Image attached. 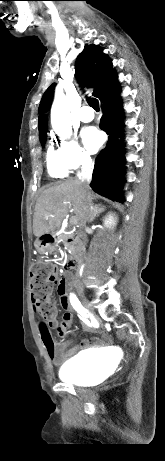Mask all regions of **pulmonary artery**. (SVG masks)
<instances>
[{
  "mask_svg": "<svg viewBox=\"0 0 165 461\" xmlns=\"http://www.w3.org/2000/svg\"><path fill=\"white\" fill-rule=\"evenodd\" d=\"M94 118V112L89 106H83L79 111V119L82 122H90Z\"/></svg>",
  "mask_w": 165,
  "mask_h": 461,
  "instance_id": "e3ab8cb5",
  "label": "pulmonary artery"
}]
</instances>
